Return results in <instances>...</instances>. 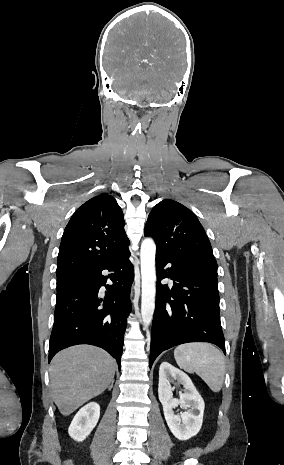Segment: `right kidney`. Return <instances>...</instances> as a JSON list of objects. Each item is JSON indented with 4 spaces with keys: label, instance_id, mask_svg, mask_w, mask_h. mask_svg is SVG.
Here are the masks:
<instances>
[{
    "label": "right kidney",
    "instance_id": "right-kidney-1",
    "mask_svg": "<svg viewBox=\"0 0 284 465\" xmlns=\"http://www.w3.org/2000/svg\"><path fill=\"white\" fill-rule=\"evenodd\" d=\"M100 407L97 403H88L76 413L69 429V437L74 441H84L98 423Z\"/></svg>",
    "mask_w": 284,
    "mask_h": 465
}]
</instances>
